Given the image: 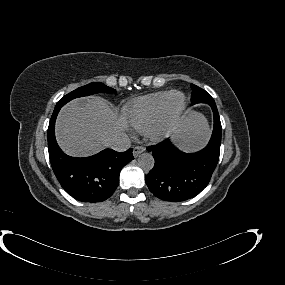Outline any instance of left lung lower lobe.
<instances>
[{"mask_svg": "<svg viewBox=\"0 0 285 285\" xmlns=\"http://www.w3.org/2000/svg\"><path fill=\"white\" fill-rule=\"evenodd\" d=\"M214 114V129L208 145L197 153H184L165 140L147 148L155 159L146 175L149 190L165 201H184L198 195L209 183L220 154L221 122L215 102L207 103Z\"/></svg>", "mask_w": 285, "mask_h": 285, "instance_id": "1", "label": "left lung lower lobe"}]
</instances>
